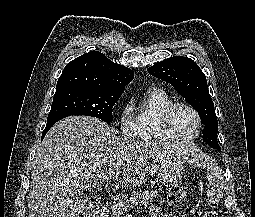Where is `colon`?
Segmentation results:
<instances>
[{
    "mask_svg": "<svg viewBox=\"0 0 255 217\" xmlns=\"http://www.w3.org/2000/svg\"><path fill=\"white\" fill-rule=\"evenodd\" d=\"M168 196L171 203H181L186 197L185 188L179 183H174L170 186ZM207 198L211 207L216 208L218 206L220 201V190L216 184H209Z\"/></svg>",
    "mask_w": 255,
    "mask_h": 217,
    "instance_id": "1",
    "label": "colon"
}]
</instances>
